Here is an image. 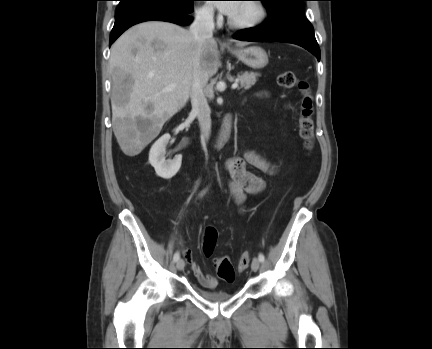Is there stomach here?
Instances as JSON below:
<instances>
[{
	"mask_svg": "<svg viewBox=\"0 0 432 349\" xmlns=\"http://www.w3.org/2000/svg\"><path fill=\"white\" fill-rule=\"evenodd\" d=\"M245 65L253 69H261L268 64V55L258 46L229 50Z\"/></svg>",
	"mask_w": 432,
	"mask_h": 349,
	"instance_id": "stomach-1",
	"label": "stomach"
}]
</instances>
